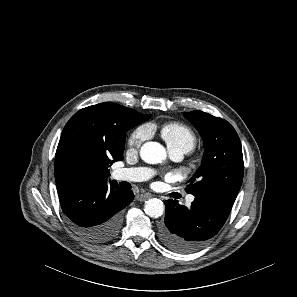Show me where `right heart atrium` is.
<instances>
[{"label":"right heart atrium","instance_id":"obj_1","mask_svg":"<svg viewBox=\"0 0 297 297\" xmlns=\"http://www.w3.org/2000/svg\"><path fill=\"white\" fill-rule=\"evenodd\" d=\"M148 135L149 129L145 126L135 129L128 139L129 147L132 149H138L141 144L147 139Z\"/></svg>","mask_w":297,"mask_h":297}]
</instances>
